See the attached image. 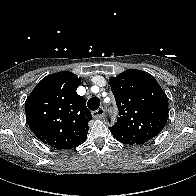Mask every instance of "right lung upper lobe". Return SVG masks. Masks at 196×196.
I'll use <instances>...</instances> for the list:
<instances>
[{
  "label": "right lung upper lobe",
  "mask_w": 196,
  "mask_h": 196,
  "mask_svg": "<svg viewBox=\"0 0 196 196\" xmlns=\"http://www.w3.org/2000/svg\"><path fill=\"white\" fill-rule=\"evenodd\" d=\"M80 79L71 72L43 78L25 103L26 120L32 132L56 149H70L86 141L92 115L85 98L76 93Z\"/></svg>",
  "instance_id": "cb5924a9"
}]
</instances>
